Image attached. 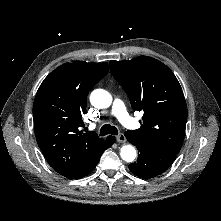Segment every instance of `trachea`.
I'll list each match as a JSON object with an SVG mask.
<instances>
[{
  "label": "trachea",
  "mask_w": 221,
  "mask_h": 221,
  "mask_svg": "<svg viewBox=\"0 0 221 221\" xmlns=\"http://www.w3.org/2000/svg\"><path fill=\"white\" fill-rule=\"evenodd\" d=\"M107 134H112V135H117L118 134V130L115 126H111L109 124H105L101 127L100 130V135L104 136Z\"/></svg>",
  "instance_id": "obj_1"
}]
</instances>
